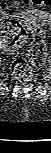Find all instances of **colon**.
Returning <instances> with one entry per match:
<instances>
[{
  "label": "colon",
  "instance_id": "colon-1",
  "mask_svg": "<svg viewBox=\"0 0 51 153\" xmlns=\"http://www.w3.org/2000/svg\"><path fill=\"white\" fill-rule=\"evenodd\" d=\"M26 5L50 6L51 0H23ZM1 46L3 49L13 52L22 48L26 42V31L15 19H5L1 22ZM47 49L45 32L36 28L29 50V64L24 58H16L11 65L12 76L21 83L30 81L34 75V68L43 66L46 60Z\"/></svg>",
  "mask_w": 51,
  "mask_h": 153
}]
</instances>
